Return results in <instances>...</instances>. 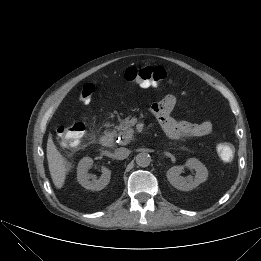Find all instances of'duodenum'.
Here are the masks:
<instances>
[{"mask_svg":"<svg viewBox=\"0 0 261 261\" xmlns=\"http://www.w3.org/2000/svg\"><path fill=\"white\" fill-rule=\"evenodd\" d=\"M100 142L102 146L109 148L114 143V135L111 132H106L102 135Z\"/></svg>","mask_w":261,"mask_h":261,"instance_id":"duodenum-1","label":"duodenum"}]
</instances>
